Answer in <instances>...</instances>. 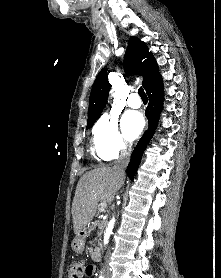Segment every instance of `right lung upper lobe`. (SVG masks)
<instances>
[{
    "mask_svg": "<svg viewBox=\"0 0 221 278\" xmlns=\"http://www.w3.org/2000/svg\"><path fill=\"white\" fill-rule=\"evenodd\" d=\"M124 69L126 72L143 76L142 85L146 87L160 74L158 64L148 47L136 37H130L128 48L124 58ZM110 84L107 78V69L103 68L96 77L89 98V124H94L101 114L108 98Z\"/></svg>",
    "mask_w": 221,
    "mask_h": 278,
    "instance_id": "obj_1",
    "label": "right lung upper lobe"
}]
</instances>
